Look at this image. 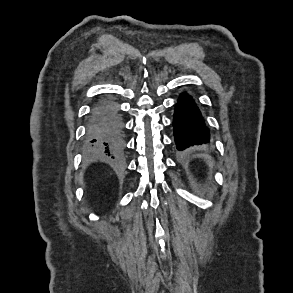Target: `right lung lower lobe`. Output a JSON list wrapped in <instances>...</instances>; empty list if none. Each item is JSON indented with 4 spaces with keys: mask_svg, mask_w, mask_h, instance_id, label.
Returning <instances> with one entry per match:
<instances>
[{
    "mask_svg": "<svg viewBox=\"0 0 293 293\" xmlns=\"http://www.w3.org/2000/svg\"><path fill=\"white\" fill-rule=\"evenodd\" d=\"M123 121L118 107L110 101L93 106L87 126V140L100 152L114 156L123 149Z\"/></svg>",
    "mask_w": 293,
    "mask_h": 293,
    "instance_id": "right-lung-lower-lobe-1",
    "label": "right lung lower lobe"
}]
</instances>
